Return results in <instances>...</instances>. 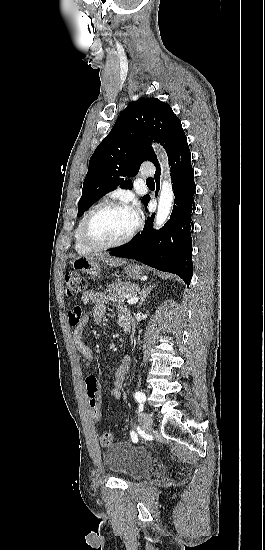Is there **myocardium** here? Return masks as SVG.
<instances>
[{
	"mask_svg": "<svg viewBox=\"0 0 265 550\" xmlns=\"http://www.w3.org/2000/svg\"><path fill=\"white\" fill-rule=\"evenodd\" d=\"M107 209H130V207L126 203L121 201H105L98 204L96 207L91 209L86 214L80 226V236L83 243L92 249L101 250V249H110V248L122 246L128 243L129 241H131L132 238L137 234V232L140 229L141 223L138 219L135 227L125 237H123L120 240L103 243L93 239L88 233L89 224L97 214Z\"/></svg>",
	"mask_w": 265,
	"mask_h": 550,
	"instance_id": "f54148a6",
	"label": "myocardium"
}]
</instances>
